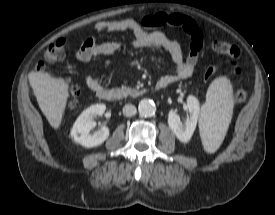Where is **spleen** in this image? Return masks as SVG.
Here are the masks:
<instances>
[{"instance_id":"obj_1","label":"spleen","mask_w":275,"mask_h":215,"mask_svg":"<svg viewBox=\"0 0 275 215\" xmlns=\"http://www.w3.org/2000/svg\"><path fill=\"white\" fill-rule=\"evenodd\" d=\"M232 85L227 77H217L210 84L201 108L199 129L206 152L214 153L221 145L233 113Z\"/></svg>"}]
</instances>
